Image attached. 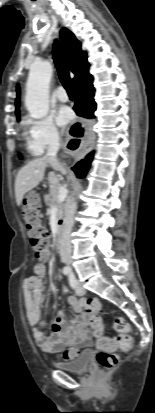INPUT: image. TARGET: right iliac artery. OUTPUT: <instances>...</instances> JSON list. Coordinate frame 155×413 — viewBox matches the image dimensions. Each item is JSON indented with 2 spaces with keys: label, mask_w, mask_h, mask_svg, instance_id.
I'll list each match as a JSON object with an SVG mask.
<instances>
[{
  "label": "right iliac artery",
  "mask_w": 155,
  "mask_h": 413,
  "mask_svg": "<svg viewBox=\"0 0 155 413\" xmlns=\"http://www.w3.org/2000/svg\"><path fill=\"white\" fill-rule=\"evenodd\" d=\"M69 273H70V271H69L68 269H65V270H64V274L67 275V274H69Z\"/></svg>",
  "instance_id": "right-iliac-artery-1"
}]
</instances>
